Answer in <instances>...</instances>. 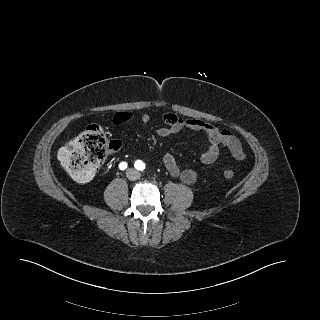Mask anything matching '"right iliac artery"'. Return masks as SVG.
I'll return each instance as SVG.
<instances>
[{
  "label": "right iliac artery",
  "instance_id": "1",
  "mask_svg": "<svg viewBox=\"0 0 320 320\" xmlns=\"http://www.w3.org/2000/svg\"><path fill=\"white\" fill-rule=\"evenodd\" d=\"M127 168V163L126 162H121L120 164H119V169L120 170H125Z\"/></svg>",
  "mask_w": 320,
  "mask_h": 320
}]
</instances>
